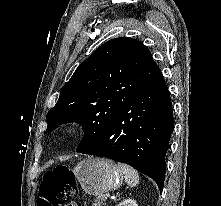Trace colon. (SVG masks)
I'll return each mask as SVG.
<instances>
[{"mask_svg": "<svg viewBox=\"0 0 221 206\" xmlns=\"http://www.w3.org/2000/svg\"><path fill=\"white\" fill-rule=\"evenodd\" d=\"M76 184L72 170L57 167L46 174L38 196V206H66L75 194Z\"/></svg>", "mask_w": 221, "mask_h": 206, "instance_id": "obj_1", "label": "colon"}]
</instances>
